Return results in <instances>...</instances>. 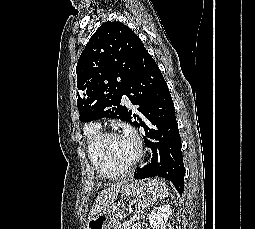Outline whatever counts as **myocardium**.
<instances>
[{
	"label": "myocardium",
	"mask_w": 255,
	"mask_h": 229,
	"mask_svg": "<svg viewBox=\"0 0 255 229\" xmlns=\"http://www.w3.org/2000/svg\"><path fill=\"white\" fill-rule=\"evenodd\" d=\"M119 135L120 134L115 131H109V132L102 133L101 137L99 138V140L96 144V150H97L98 154L101 156V158L111 168L121 171V173H123V171L130 170L132 167H134L137 164V162L139 161V159L142 155V145H141L140 141L136 140L137 150H136V154H135L134 158L131 161L126 162V163L115 162L108 156V154L105 150V146L109 139L119 136Z\"/></svg>",
	"instance_id": "f54148a6"
}]
</instances>
